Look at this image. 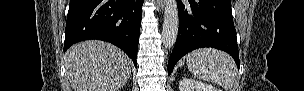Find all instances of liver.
Here are the masks:
<instances>
[{
  "label": "liver",
  "instance_id": "6515ba94",
  "mask_svg": "<svg viewBox=\"0 0 304 91\" xmlns=\"http://www.w3.org/2000/svg\"><path fill=\"white\" fill-rule=\"evenodd\" d=\"M65 67L74 91H118L131 75L132 62L116 46L90 40L67 50Z\"/></svg>",
  "mask_w": 304,
  "mask_h": 91
}]
</instances>
